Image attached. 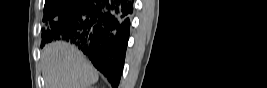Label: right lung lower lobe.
Masks as SVG:
<instances>
[{
	"mask_svg": "<svg viewBox=\"0 0 267 88\" xmlns=\"http://www.w3.org/2000/svg\"><path fill=\"white\" fill-rule=\"evenodd\" d=\"M132 12V0H77L49 21L45 29L49 36L45 42L65 39L76 44L112 87H117L124 66Z\"/></svg>",
	"mask_w": 267,
	"mask_h": 88,
	"instance_id": "obj_1",
	"label": "right lung lower lobe"
}]
</instances>
